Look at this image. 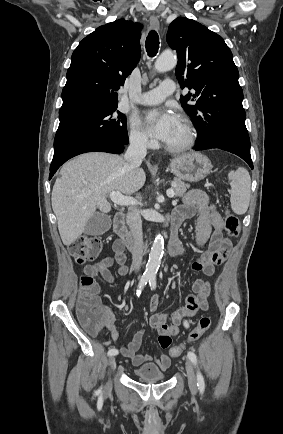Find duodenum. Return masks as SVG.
<instances>
[{
	"label": "duodenum",
	"mask_w": 283,
	"mask_h": 434,
	"mask_svg": "<svg viewBox=\"0 0 283 434\" xmlns=\"http://www.w3.org/2000/svg\"><path fill=\"white\" fill-rule=\"evenodd\" d=\"M113 229L119 238V241L124 246V248L129 249L133 253L138 252V248L133 235L127 229L126 226V216L122 211L116 212L114 215ZM178 238V228L177 226L171 225L170 227V240L173 242Z\"/></svg>",
	"instance_id": "1"
}]
</instances>
